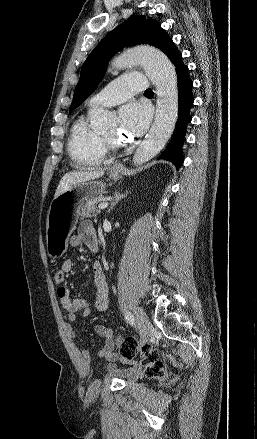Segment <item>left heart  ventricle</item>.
<instances>
[{
  "mask_svg": "<svg viewBox=\"0 0 257 439\" xmlns=\"http://www.w3.org/2000/svg\"><path fill=\"white\" fill-rule=\"evenodd\" d=\"M116 134V130L111 131L110 133H108L107 135H105L106 138H114Z\"/></svg>",
  "mask_w": 257,
  "mask_h": 439,
  "instance_id": "left-heart-ventricle-1",
  "label": "left heart ventricle"
}]
</instances>
